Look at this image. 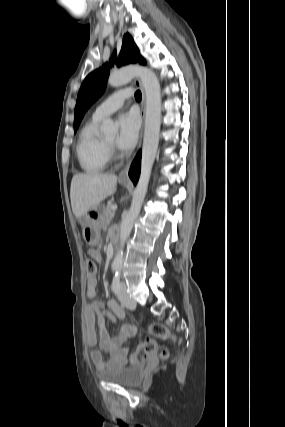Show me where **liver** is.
Listing matches in <instances>:
<instances>
[{
    "instance_id": "1",
    "label": "liver",
    "mask_w": 285,
    "mask_h": 427,
    "mask_svg": "<svg viewBox=\"0 0 285 427\" xmlns=\"http://www.w3.org/2000/svg\"><path fill=\"white\" fill-rule=\"evenodd\" d=\"M114 174L85 173L73 176L70 188L72 211L81 219L89 210L98 206L116 191Z\"/></svg>"
}]
</instances>
